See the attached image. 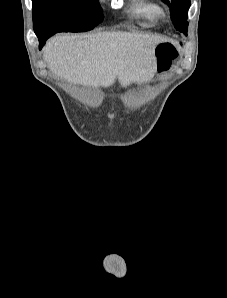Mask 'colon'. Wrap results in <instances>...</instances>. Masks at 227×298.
Instances as JSON below:
<instances>
[{"label":"colon","instance_id":"1","mask_svg":"<svg viewBox=\"0 0 227 298\" xmlns=\"http://www.w3.org/2000/svg\"><path fill=\"white\" fill-rule=\"evenodd\" d=\"M178 57L177 46L171 42H162L156 47L157 68L160 72L170 68Z\"/></svg>","mask_w":227,"mask_h":298}]
</instances>
